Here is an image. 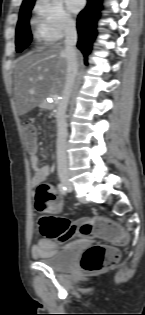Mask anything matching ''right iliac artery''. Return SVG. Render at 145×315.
I'll use <instances>...</instances> for the list:
<instances>
[{"mask_svg":"<svg viewBox=\"0 0 145 315\" xmlns=\"http://www.w3.org/2000/svg\"><path fill=\"white\" fill-rule=\"evenodd\" d=\"M58 190L63 194L66 195L67 194V188L63 185V184H58Z\"/></svg>","mask_w":145,"mask_h":315,"instance_id":"1","label":"right iliac artery"}]
</instances>
